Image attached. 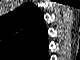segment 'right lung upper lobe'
Masks as SVG:
<instances>
[{
	"label": "right lung upper lobe",
	"mask_w": 80,
	"mask_h": 60,
	"mask_svg": "<svg viewBox=\"0 0 80 60\" xmlns=\"http://www.w3.org/2000/svg\"><path fill=\"white\" fill-rule=\"evenodd\" d=\"M0 24L2 47L21 57L41 51L48 45L43 15L32 3H25L3 16Z\"/></svg>",
	"instance_id": "cb5924a9"
}]
</instances>
